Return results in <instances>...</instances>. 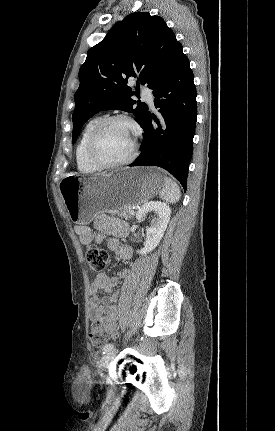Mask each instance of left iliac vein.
<instances>
[{
	"instance_id": "left-iliac-vein-1",
	"label": "left iliac vein",
	"mask_w": 275,
	"mask_h": 431,
	"mask_svg": "<svg viewBox=\"0 0 275 431\" xmlns=\"http://www.w3.org/2000/svg\"><path fill=\"white\" fill-rule=\"evenodd\" d=\"M115 357V351L106 353L99 361L98 371L102 375L104 371L110 366L111 362Z\"/></svg>"
}]
</instances>
